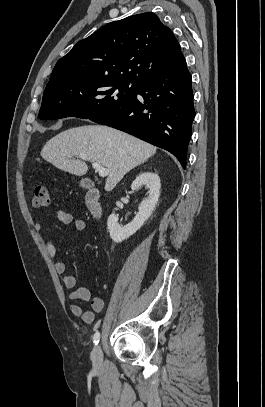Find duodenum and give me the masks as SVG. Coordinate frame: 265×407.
Wrapping results in <instances>:
<instances>
[{"instance_id":"410a0bca","label":"duodenum","mask_w":265,"mask_h":407,"mask_svg":"<svg viewBox=\"0 0 265 407\" xmlns=\"http://www.w3.org/2000/svg\"><path fill=\"white\" fill-rule=\"evenodd\" d=\"M85 188H87L86 204L90 213L98 218L102 214V207L100 204L99 191L95 188L94 184L90 180L84 182Z\"/></svg>"}]
</instances>
